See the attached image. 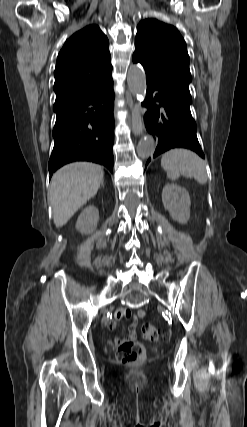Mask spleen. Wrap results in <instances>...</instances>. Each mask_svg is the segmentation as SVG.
I'll use <instances>...</instances> for the list:
<instances>
[{
  "label": "spleen",
  "mask_w": 247,
  "mask_h": 427,
  "mask_svg": "<svg viewBox=\"0 0 247 427\" xmlns=\"http://www.w3.org/2000/svg\"><path fill=\"white\" fill-rule=\"evenodd\" d=\"M161 166L171 180H177L180 174L194 178L199 184H205L208 179L204 161L187 149L175 148L167 151L162 156Z\"/></svg>",
  "instance_id": "1"
}]
</instances>
